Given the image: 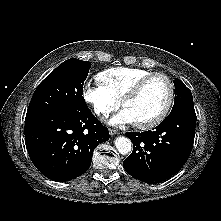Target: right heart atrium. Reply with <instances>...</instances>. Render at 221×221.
I'll return each instance as SVG.
<instances>
[{
    "mask_svg": "<svg viewBox=\"0 0 221 221\" xmlns=\"http://www.w3.org/2000/svg\"><path fill=\"white\" fill-rule=\"evenodd\" d=\"M82 96L95 114L100 117L108 116L120 106V102L113 98L100 84L86 83L82 90Z\"/></svg>",
    "mask_w": 221,
    "mask_h": 221,
    "instance_id": "1",
    "label": "right heart atrium"
}]
</instances>
